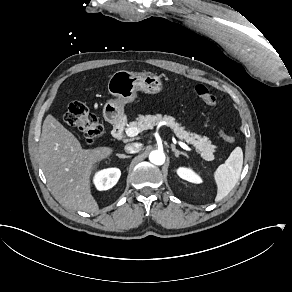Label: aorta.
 Wrapping results in <instances>:
<instances>
[{
    "instance_id": "aorta-1",
    "label": "aorta",
    "mask_w": 292,
    "mask_h": 292,
    "mask_svg": "<svg viewBox=\"0 0 292 292\" xmlns=\"http://www.w3.org/2000/svg\"><path fill=\"white\" fill-rule=\"evenodd\" d=\"M149 160L155 165H162L165 162V155L162 151H152L149 155Z\"/></svg>"
}]
</instances>
